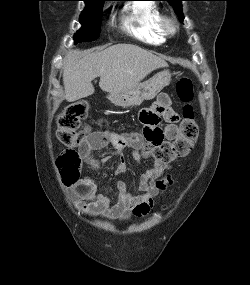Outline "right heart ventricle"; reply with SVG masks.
<instances>
[{
  "instance_id": "right-heart-ventricle-1",
  "label": "right heart ventricle",
  "mask_w": 250,
  "mask_h": 285,
  "mask_svg": "<svg viewBox=\"0 0 250 285\" xmlns=\"http://www.w3.org/2000/svg\"><path fill=\"white\" fill-rule=\"evenodd\" d=\"M162 13L158 6L150 1H136L123 10L124 30L135 39L150 45L164 42L159 22Z\"/></svg>"
}]
</instances>
